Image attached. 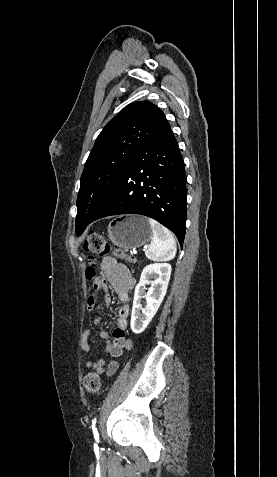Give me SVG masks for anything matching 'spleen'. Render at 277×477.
<instances>
[{
    "instance_id": "1",
    "label": "spleen",
    "mask_w": 277,
    "mask_h": 477,
    "mask_svg": "<svg viewBox=\"0 0 277 477\" xmlns=\"http://www.w3.org/2000/svg\"><path fill=\"white\" fill-rule=\"evenodd\" d=\"M152 229L151 243L145 251L148 259L153 261L172 260L177 251L172 233L153 219H148Z\"/></svg>"
}]
</instances>
